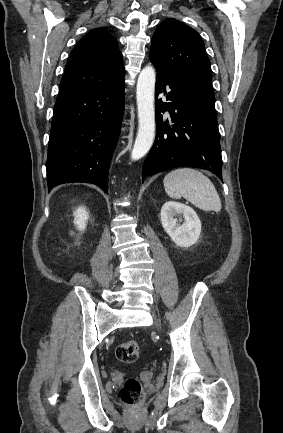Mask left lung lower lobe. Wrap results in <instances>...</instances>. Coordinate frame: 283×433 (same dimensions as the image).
I'll list each match as a JSON object with an SVG mask.
<instances>
[{"label":"left lung lower lobe","mask_w":283,"mask_h":433,"mask_svg":"<svg viewBox=\"0 0 283 433\" xmlns=\"http://www.w3.org/2000/svg\"><path fill=\"white\" fill-rule=\"evenodd\" d=\"M157 69L155 88L156 139L144 161L142 181L174 167H198L222 181V158L217 116L194 104L195 90L188 77L176 74L150 59ZM164 92L167 101L158 99ZM166 111L169 116L163 115Z\"/></svg>","instance_id":"1"}]
</instances>
